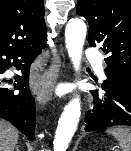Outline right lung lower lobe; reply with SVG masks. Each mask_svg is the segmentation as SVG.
Wrapping results in <instances>:
<instances>
[{
    "label": "right lung lower lobe",
    "mask_w": 131,
    "mask_h": 151,
    "mask_svg": "<svg viewBox=\"0 0 131 151\" xmlns=\"http://www.w3.org/2000/svg\"><path fill=\"white\" fill-rule=\"evenodd\" d=\"M45 47L46 43L23 49H0V75L11 66L22 72L14 89L5 88L3 85L7 80L0 76V118L8 120L33 140L36 110L34 97L29 91V72L31 63Z\"/></svg>",
    "instance_id": "obj_1"
}]
</instances>
